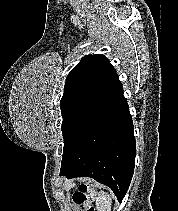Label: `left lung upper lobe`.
Masks as SVG:
<instances>
[{"label":"left lung upper lobe","mask_w":178,"mask_h":211,"mask_svg":"<svg viewBox=\"0 0 178 211\" xmlns=\"http://www.w3.org/2000/svg\"><path fill=\"white\" fill-rule=\"evenodd\" d=\"M121 82L101 54L88 55L68 74L60 101L65 161L93 128Z\"/></svg>","instance_id":"5c2ea615"}]
</instances>
